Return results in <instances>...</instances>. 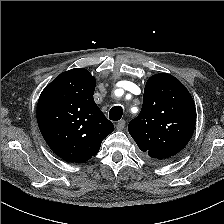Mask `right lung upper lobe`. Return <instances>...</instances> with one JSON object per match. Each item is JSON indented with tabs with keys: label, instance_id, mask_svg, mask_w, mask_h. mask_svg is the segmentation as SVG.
<instances>
[{
	"label": "right lung upper lobe",
	"instance_id": "obj_1",
	"mask_svg": "<svg viewBox=\"0 0 224 224\" xmlns=\"http://www.w3.org/2000/svg\"><path fill=\"white\" fill-rule=\"evenodd\" d=\"M96 81L84 68L61 73L41 93L37 122L51 150L68 162L95 156L114 130L93 99Z\"/></svg>",
	"mask_w": 224,
	"mask_h": 224
}]
</instances>
